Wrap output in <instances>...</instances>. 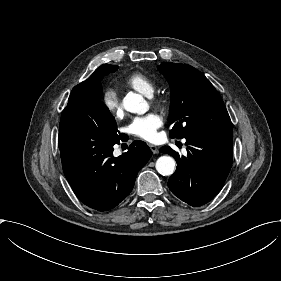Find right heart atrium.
Instances as JSON below:
<instances>
[{"mask_svg":"<svg viewBox=\"0 0 281 281\" xmlns=\"http://www.w3.org/2000/svg\"><path fill=\"white\" fill-rule=\"evenodd\" d=\"M102 103L108 112H121V103L118 92L112 87L104 89L102 93Z\"/></svg>","mask_w":281,"mask_h":281,"instance_id":"d8ad5b80","label":"right heart atrium"}]
</instances>
